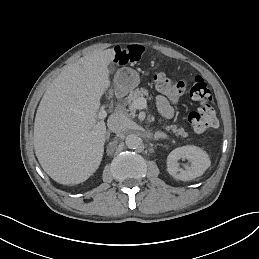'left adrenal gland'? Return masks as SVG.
Returning a JSON list of instances; mask_svg holds the SVG:
<instances>
[{"instance_id": "a2214340", "label": "left adrenal gland", "mask_w": 259, "mask_h": 259, "mask_svg": "<svg viewBox=\"0 0 259 259\" xmlns=\"http://www.w3.org/2000/svg\"><path fill=\"white\" fill-rule=\"evenodd\" d=\"M165 139L167 138V135L161 132H156L154 135V140H159V139Z\"/></svg>"}]
</instances>
